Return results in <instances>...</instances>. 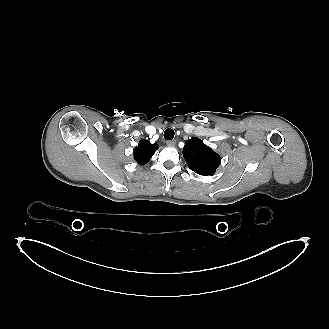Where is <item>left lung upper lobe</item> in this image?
Segmentation results:
<instances>
[{"instance_id":"1","label":"left lung upper lobe","mask_w":329,"mask_h":329,"mask_svg":"<svg viewBox=\"0 0 329 329\" xmlns=\"http://www.w3.org/2000/svg\"><path fill=\"white\" fill-rule=\"evenodd\" d=\"M183 156L191 170L204 176L213 175L221 161L220 156L197 137L185 142Z\"/></svg>"}]
</instances>
